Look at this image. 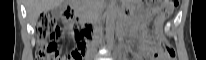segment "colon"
I'll use <instances>...</instances> for the list:
<instances>
[{"label": "colon", "mask_w": 206, "mask_h": 60, "mask_svg": "<svg viewBox=\"0 0 206 60\" xmlns=\"http://www.w3.org/2000/svg\"><path fill=\"white\" fill-rule=\"evenodd\" d=\"M177 1L166 0L160 11L162 14H168L176 6ZM37 33V60H81L88 41L86 33H79L77 36V47L68 54H63L59 49L60 29L55 21L48 15L42 14L38 19L36 29ZM151 53L155 57H162L165 60L175 58L174 50L165 40H161L158 46L149 44Z\"/></svg>", "instance_id": "colon-1"}]
</instances>
